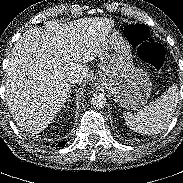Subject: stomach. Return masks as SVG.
I'll return each mask as SVG.
<instances>
[{"mask_svg":"<svg viewBox=\"0 0 183 183\" xmlns=\"http://www.w3.org/2000/svg\"><path fill=\"white\" fill-rule=\"evenodd\" d=\"M99 83L127 110L147 103L151 92L148 73L133 65L131 47L116 29L108 33L99 53Z\"/></svg>","mask_w":183,"mask_h":183,"instance_id":"0dacf381","label":"stomach"}]
</instances>
